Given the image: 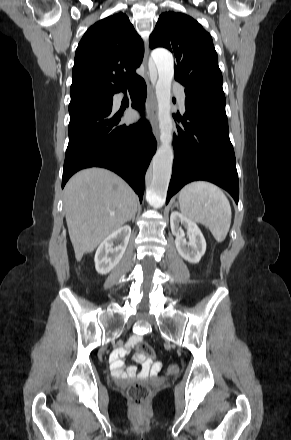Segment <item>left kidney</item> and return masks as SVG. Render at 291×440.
<instances>
[{
	"instance_id": "5707ae66",
	"label": "left kidney",
	"mask_w": 291,
	"mask_h": 440,
	"mask_svg": "<svg viewBox=\"0 0 291 440\" xmlns=\"http://www.w3.org/2000/svg\"><path fill=\"white\" fill-rule=\"evenodd\" d=\"M180 225L187 229L189 242H186ZM170 226L172 234L176 237L175 245L180 256L190 263H198L206 251V241L197 224L178 211H173Z\"/></svg>"
}]
</instances>
